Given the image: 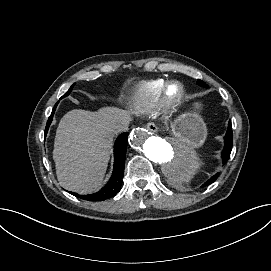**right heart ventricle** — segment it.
Segmentation results:
<instances>
[{"label": "right heart ventricle", "mask_w": 271, "mask_h": 271, "mask_svg": "<svg viewBox=\"0 0 271 271\" xmlns=\"http://www.w3.org/2000/svg\"><path fill=\"white\" fill-rule=\"evenodd\" d=\"M167 83L168 80L165 78L139 82L134 95L133 108L140 113L148 111L162 98Z\"/></svg>", "instance_id": "e07e8e85"}]
</instances>
